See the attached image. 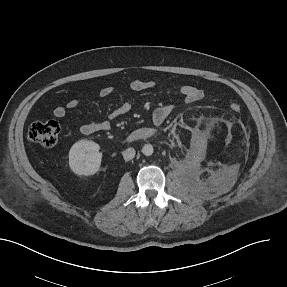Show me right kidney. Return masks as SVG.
<instances>
[{"label": "right kidney", "instance_id": "right-kidney-1", "mask_svg": "<svg viewBox=\"0 0 287 287\" xmlns=\"http://www.w3.org/2000/svg\"><path fill=\"white\" fill-rule=\"evenodd\" d=\"M101 159L100 146L93 141L80 140L69 151V166L77 175H94L100 168Z\"/></svg>", "mask_w": 287, "mask_h": 287}]
</instances>
